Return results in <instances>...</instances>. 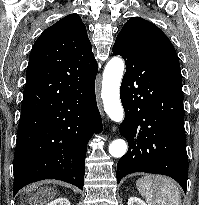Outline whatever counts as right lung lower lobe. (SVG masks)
I'll return each instance as SVG.
<instances>
[{
    "label": "right lung lower lobe",
    "instance_id": "right-lung-lower-lobe-1",
    "mask_svg": "<svg viewBox=\"0 0 199 205\" xmlns=\"http://www.w3.org/2000/svg\"><path fill=\"white\" fill-rule=\"evenodd\" d=\"M95 78L79 82L50 105L20 117L14 154V195L24 186L58 179L83 189L86 146L102 131ZM43 87L26 85V91Z\"/></svg>",
    "mask_w": 199,
    "mask_h": 205
}]
</instances>
